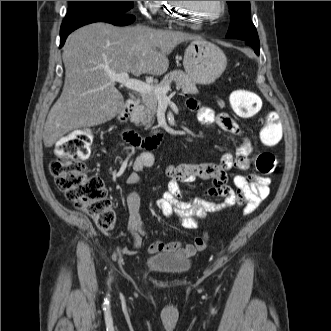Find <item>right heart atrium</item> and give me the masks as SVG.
Listing matches in <instances>:
<instances>
[{"instance_id": "right-heart-atrium-1", "label": "right heart atrium", "mask_w": 331, "mask_h": 331, "mask_svg": "<svg viewBox=\"0 0 331 331\" xmlns=\"http://www.w3.org/2000/svg\"><path fill=\"white\" fill-rule=\"evenodd\" d=\"M142 9L140 10L141 16H152L156 12V6L160 1H137Z\"/></svg>"}]
</instances>
